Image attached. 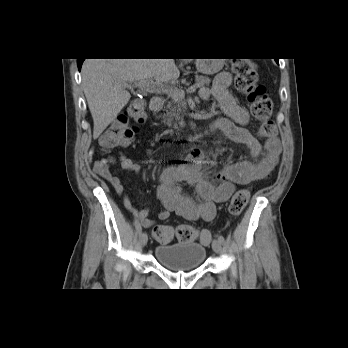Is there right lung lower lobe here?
Listing matches in <instances>:
<instances>
[{
	"mask_svg": "<svg viewBox=\"0 0 348 348\" xmlns=\"http://www.w3.org/2000/svg\"><path fill=\"white\" fill-rule=\"evenodd\" d=\"M83 61H84V59H78V61H77V65H78L79 70H81V66H82Z\"/></svg>",
	"mask_w": 348,
	"mask_h": 348,
	"instance_id": "obj_1",
	"label": "right lung lower lobe"
}]
</instances>
